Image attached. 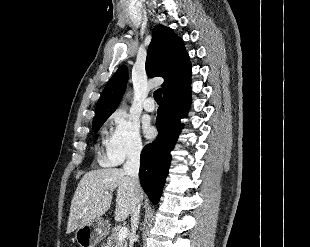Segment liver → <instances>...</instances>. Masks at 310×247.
<instances>
[{
	"mask_svg": "<svg viewBox=\"0 0 310 247\" xmlns=\"http://www.w3.org/2000/svg\"><path fill=\"white\" fill-rule=\"evenodd\" d=\"M117 189L115 220L124 221L131 214L135 198L143 200L139 187L135 196L131 190V178L121 168L97 169L87 172L80 182L71 201L67 233L80 224L103 216L110 208L113 190Z\"/></svg>",
	"mask_w": 310,
	"mask_h": 247,
	"instance_id": "liver-1",
	"label": "liver"
}]
</instances>
